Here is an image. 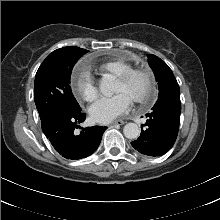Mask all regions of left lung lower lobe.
I'll use <instances>...</instances> for the list:
<instances>
[{
	"instance_id": "1",
	"label": "left lung lower lobe",
	"mask_w": 220,
	"mask_h": 220,
	"mask_svg": "<svg viewBox=\"0 0 220 220\" xmlns=\"http://www.w3.org/2000/svg\"><path fill=\"white\" fill-rule=\"evenodd\" d=\"M181 113L180 96L159 99L147 113V122L141 127L140 137L131 145L140 153L161 156L168 152L176 141Z\"/></svg>"
}]
</instances>
